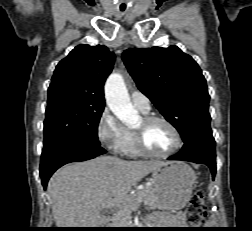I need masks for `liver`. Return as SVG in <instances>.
Segmentation results:
<instances>
[{
    "mask_svg": "<svg viewBox=\"0 0 252 231\" xmlns=\"http://www.w3.org/2000/svg\"><path fill=\"white\" fill-rule=\"evenodd\" d=\"M167 164L163 161L116 160L105 156L60 168L48 183L56 226H109V219L101 215L103 205L123 200L144 176Z\"/></svg>",
    "mask_w": 252,
    "mask_h": 231,
    "instance_id": "obj_1",
    "label": "liver"
}]
</instances>
